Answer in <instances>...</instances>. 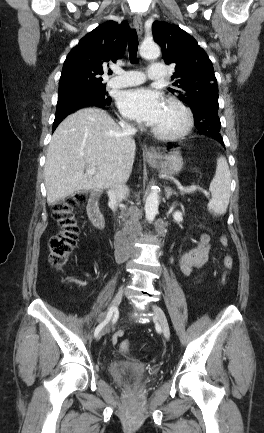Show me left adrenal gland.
I'll return each instance as SVG.
<instances>
[{
	"mask_svg": "<svg viewBox=\"0 0 264 433\" xmlns=\"http://www.w3.org/2000/svg\"><path fill=\"white\" fill-rule=\"evenodd\" d=\"M165 195H166V199H169L170 196L172 195H176L177 196V192L173 191L169 186L165 188Z\"/></svg>",
	"mask_w": 264,
	"mask_h": 433,
	"instance_id": "obj_1",
	"label": "left adrenal gland"
}]
</instances>
